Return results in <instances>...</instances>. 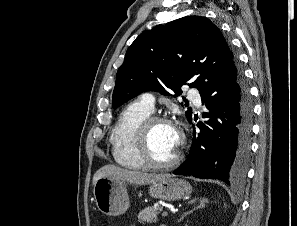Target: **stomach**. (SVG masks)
<instances>
[{
	"mask_svg": "<svg viewBox=\"0 0 297 226\" xmlns=\"http://www.w3.org/2000/svg\"><path fill=\"white\" fill-rule=\"evenodd\" d=\"M148 191L153 198L174 201L190 195L192 187L183 179L169 176L152 183ZM93 194L99 211L105 215L118 216L129 208L127 189L121 180L99 178L94 185Z\"/></svg>",
	"mask_w": 297,
	"mask_h": 226,
	"instance_id": "obj_1",
	"label": "stomach"
}]
</instances>
